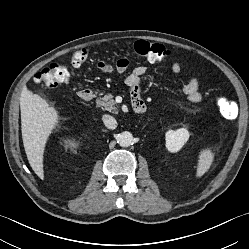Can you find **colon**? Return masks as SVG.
<instances>
[{"label": "colon", "mask_w": 249, "mask_h": 249, "mask_svg": "<svg viewBox=\"0 0 249 249\" xmlns=\"http://www.w3.org/2000/svg\"><path fill=\"white\" fill-rule=\"evenodd\" d=\"M128 50L146 58L152 62H160L168 57L167 49L156 43H150L145 40H139L128 46ZM89 58V53L85 49L74 51L70 56L71 68L57 63H52L34 77L35 82L44 88H53L59 84L67 83L74 74L73 69L80 68ZM217 104L225 119H232V115L227 110L234 111V102L228 98H218Z\"/></svg>", "instance_id": "colon-1"}]
</instances>
